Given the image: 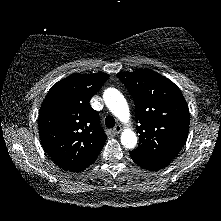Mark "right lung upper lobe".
<instances>
[{
  "label": "right lung upper lobe",
  "instance_id": "cb5924a9",
  "mask_svg": "<svg viewBox=\"0 0 221 221\" xmlns=\"http://www.w3.org/2000/svg\"><path fill=\"white\" fill-rule=\"evenodd\" d=\"M108 78V74H72L54 84L41 105L42 145L63 170L86 169L104 146L107 135L89 101Z\"/></svg>",
  "mask_w": 221,
  "mask_h": 221
}]
</instances>
